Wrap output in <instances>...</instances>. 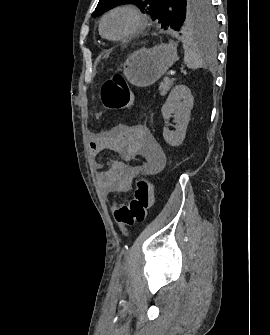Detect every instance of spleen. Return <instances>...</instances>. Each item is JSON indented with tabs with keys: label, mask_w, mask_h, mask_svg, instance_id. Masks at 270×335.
<instances>
[{
	"label": "spleen",
	"mask_w": 270,
	"mask_h": 335,
	"mask_svg": "<svg viewBox=\"0 0 270 335\" xmlns=\"http://www.w3.org/2000/svg\"><path fill=\"white\" fill-rule=\"evenodd\" d=\"M183 40V48L185 50L184 62H186L188 68H202L204 62H207L209 56L204 54L201 48H198L197 44H189L186 38Z\"/></svg>",
	"instance_id": "1"
}]
</instances>
